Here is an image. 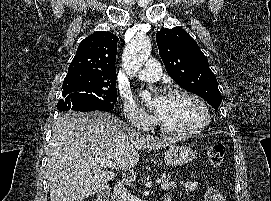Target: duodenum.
<instances>
[{"label": "duodenum", "mask_w": 271, "mask_h": 201, "mask_svg": "<svg viewBox=\"0 0 271 201\" xmlns=\"http://www.w3.org/2000/svg\"><path fill=\"white\" fill-rule=\"evenodd\" d=\"M109 195H110V187L108 185L103 186L97 195V200L98 201H109ZM163 201H170L169 196H165L163 198Z\"/></svg>", "instance_id": "obj_1"}]
</instances>
